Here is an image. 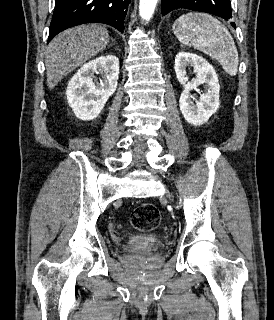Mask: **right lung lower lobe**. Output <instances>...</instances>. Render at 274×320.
Returning a JSON list of instances; mask_svg holds the SVG:
<instances>
[{
    "label": "right lung lower lobe",
    "instance_id": "right-lung-lower-lobe-1",
    "mask_svg": "<svg viewBox=\"0 0 274 320\" xmlns=\"http://www.w3.org/2000/svg\"><path fill=\"white\" fill-rule=\"evenodd\" d=\"M130 0H55L48 42L61 31L85 23H104L123 32Z\"/></svg>",
    "mask_w": 274,
    "mask_h": 320
}]
</instances>
